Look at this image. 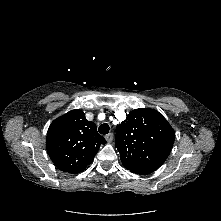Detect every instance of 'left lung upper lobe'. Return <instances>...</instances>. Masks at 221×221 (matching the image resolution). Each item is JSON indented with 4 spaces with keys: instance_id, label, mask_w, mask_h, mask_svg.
Returning a JSON list of instances; mask_svg holds the SVG:
<instances>
[{
    "instance_id": "1",
    "label": "left lung upper lobe",
    "mask_w": 221,
    "mask_h": 221,
    "mask_svg": "<svg viewBox=\"0 0 221 221\" xmlns=\"http://www.w3.org/2000/svg\"><path fill=\"white\" fill-rule=\"evenodd\" d=\"M175 132L157 110H132L116 127L115 146L122 164L133 173L157 170L168 157Z\"/></svg>"
}]
</instances>
